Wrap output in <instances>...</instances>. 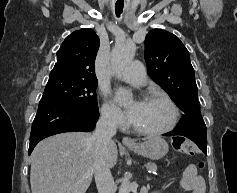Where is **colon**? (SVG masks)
Returning <instances> with one entry per match:
<instances>
[{"instance_id": "5ec220e1", "label": "colon", "mask_w": 237, "mask_h": 193, "mask_svg": "<svg viewBox=\"0 0 237 193\" xmlns=\"http://www.w3.org/2000/svg\"><path fill=\"white\" fill-rule=\"evenodd\" d=\"M172 145L176 151L186 154V155H193L195 152L194 151V144L184 137L173 138ZM203 166H204L203 162H200L199 167L203 168Z\"/></svg>"}]
</instances>
